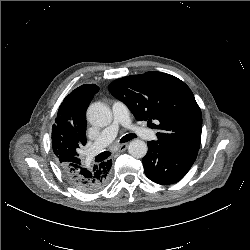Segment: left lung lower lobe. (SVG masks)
<instances>
[{
	"label": "left lung lower lobe",
	"mask_w": 250,
	"mask_h": 250,
	"mask_svg": "<svg viewBox=\"0 0 250 250\" xmlns=\"http://www.w3.org/2000/svg\"><path fill=\"white\" fill-rule=\"evenodd\" d=\"M142 159L144 172L153 182L162 185L181 180L196 160L198 151L173 148L158 141H149Z\"/></svg>",
	"instance_id": "obj_1"
}]
</instances>
